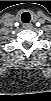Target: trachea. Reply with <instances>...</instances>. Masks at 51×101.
<instances>
[{
    "label": "trachea",
    "instance_id": "obj_1",
    "mask_svg": "<svg viewBox=\"0 0 51 101\" xmlns=\"http://www.w3.org/2000/svg\"><path fill=\"white\" fill-rule=\"evenodd\" d=\"M21 20H22L23 23H29L30 20H31V15H30V13L24 12V13L21 15Z\"/></svg>",
    "mask_w": 51,
    "mask_h": 101
}]
</instances>
